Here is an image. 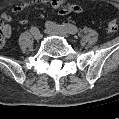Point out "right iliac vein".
<instances>
[{
    "label": "right iliac vein",
    "mask_w": 119,
    "mask_h": 119,
    "mask_svg": "<svg viewBox=\"0 0 119 119\" xmlns=\"http://www.w3.org/2000/svg\"><path fill=\"white\" fill-rule=\"evenodd\" d=\"M41 38H42V34L41 33L37 37H34V39H36V40H40Z\"/></svg>",
    "instance_id": "63e3f726"
}]
</instances>
